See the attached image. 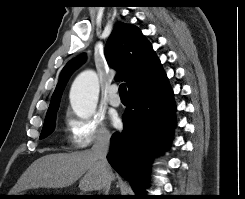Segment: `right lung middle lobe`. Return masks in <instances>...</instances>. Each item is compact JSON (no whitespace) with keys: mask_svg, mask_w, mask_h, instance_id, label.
Instances as JSON below:
<instances>
[{"mask_svg":"<svg viewBox=\"0 0 245 199\" xmlns=\"http://www.w3.org/2000/svg\"><path fill=\"white\" fill-rule=\"evenodd\" d=\"M56 112L51 113L50 115L45 117L44 125L42 132L40 134V139L47 137L50 135L55 127V118H56Z\"/></svg>","mask_w":245,"mask_h":199,"instance_id":"1","label":"right lung middle lobe"}]
</instances>
